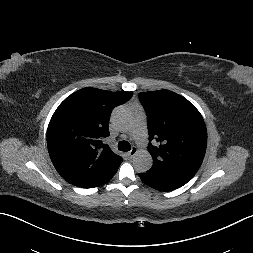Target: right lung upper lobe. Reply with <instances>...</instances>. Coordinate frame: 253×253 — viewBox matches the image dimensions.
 Segmentation results:
<instances>
[{
  "label": "right lung upper lobe",
  "instance_id": "1",
  "mask_svg": "<svg viewBox=\"0 0 253 253\" xmlns=\"http://www.w3.org/2000/svg\"><path fill=\"white\" fill-rule=\"evenodd\" d=\"M132 92L83 88L68 96L54 112L47 146L58 173L70 184L93 188L108 182L123 159L102 140L109 135L111 110Z\"/></svg>",
  "mask_w": 253,
  "mask_h": 253
}]
</instances>
